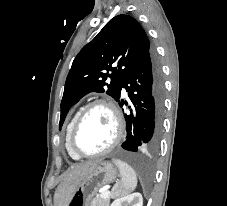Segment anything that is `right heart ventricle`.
I'll list each match as a JSON object with an SVG mask.
<instances>
[{"label":"right heart ventricle","instance_id":"obj_1","mask_svg":"<svg viewBox=\"0 0 227 206\" xmlns=\"http://www.w3.org/2000/svg\"><path fill=\"white\" fill-rule=\"evenodd\" d=\"M84 107L83 106H80L76 109V111L74 112V114L72 115L70 121L68 122L67 124V127H66V148H67V151L69 153V155L75 159V160H78L80 157H78L76 154H74L71 149H70V146H69V137H70V133H71V130H72V127L79 115V113L81 112V110L83 109Z\"/></svg>","mask_w":227,"mask_h":206}]
</instances>
